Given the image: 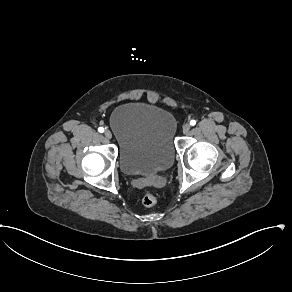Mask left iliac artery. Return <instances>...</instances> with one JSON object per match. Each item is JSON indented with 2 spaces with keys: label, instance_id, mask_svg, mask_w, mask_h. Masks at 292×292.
Instances as JSON below:
<instances>
[{
  "label": "left iliac artery",
  "instance_id": "44dca946",
  "mask_svg": "<svg viewBox=\"0 0 292 292\" xmlns=\"http://www.w3.org/2000/svg\"><path fill=\"white\" fill-rule=\"evenodd\" d=\"M195 124H196V121H195V120H191V121H190V125H191V126H194Z\"/></svg>",
  "mask_w": 292,
  "mask_h": 292
}]
</instances>
